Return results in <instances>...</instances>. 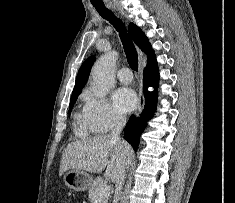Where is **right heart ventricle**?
I'll return each instance as SVG.
<instances>
[{"mask_svg":"<svg viewBox=\"0 0 235 203\" xmlns=\"http://www.w3.org/2000/svg\"><path fill=\"white\" fill-rule=\"evenodd\" d=\"M75 128L77 133L83 136H87L90 133L95 132L89 122L85 110L75 114Z\"/></svg>","mask_w":235,"mask_h":203,"instance_id":"obj_1","label":"right heart ventricle"}]
</instances>
